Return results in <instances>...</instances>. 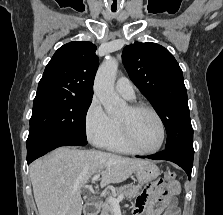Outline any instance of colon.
Here are the masks:
<instances>
[{
	"mask_svg": "<svg viewBox=\"0 0 223 215\" xmlns=\"http://www.w3.org/2000/svg\"><path fill=\"white\" fill-rule=\"evenodd\" d=\"M165 177L169 180H174L176 175L173 171H170V170H166L165 171Z\"/></svg>",
	"mask_w": 223,
	"mask_h": 215,
	"instance_id": "1",
	"label": "colon"
}]
</instances>
